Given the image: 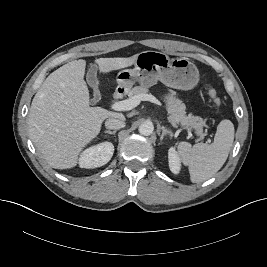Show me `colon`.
<instances>
[{
  "mask_svg": "<svg viewBox=\"0 0 267 267\" xmlns=\"http://www.w3.org/2000/svg\"><path fill=\"white\" fill-rule=\"evenodd\" d=\"M209 95L211 99L214 101L215 104L219 105L220 104V98L218 97L216 91L214 89L209 90Z\"/></svg>",
  "mask_w": 267,
  "mask_h": 267,
  "instance_id": "1",
  "label": "colon"
}]
</instances>
